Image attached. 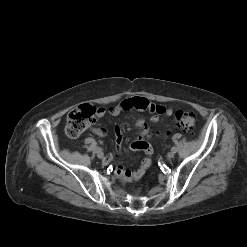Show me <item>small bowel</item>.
I'll use <instances>...</instances> for the list:
<instances>
[{
	"label": "small bowel",
	"mask_w": 247,
	"mask_h": 247,
	"mask_svg": "<svg viewBox=\"0 0 247 247\" xmlns=\"http://www.w3.org/2000/svg\"><path fill=\"white\" fill-rule=\"evenodd\" d=\"M139 110L148 111L152 113L150 121L153 123L159 122L162 116H171L173 111L171 108L165 107L149 101L144 97H129L122 100L120 103L111 106L109 108H98L96 116L101 118L106 112L116 116L124 111ZM136 127L139 129V136L130 144V150L132 151H144L147 157L140 161L138 170L131 171L126 169L121 164H117L115 167V175L122 182H132L140 179L145 173L146 169L151 164L150 156L153 153L152 146L147 142L146 138L150 137L149 127L144 119H138L136 121ZM92 131L98 136H104L106 130L101 127L93 128ZM123 136L122 129L120 127L115 128V156L116 158L121 157V146H122ZM108 162V160L106 161Z\"/></svg>",
	"instance_id": "1"
}]
</instances>
